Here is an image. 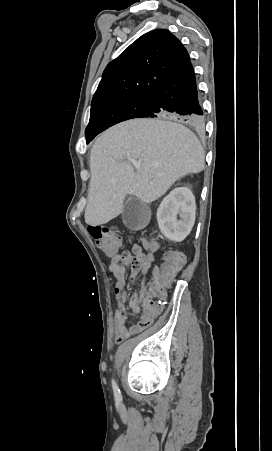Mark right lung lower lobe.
Instances as JSON below:
<instances>
[{
	"label": "right lung lower lobe",
	"instance_id": "1",
	"mask_svg": "<svg viewBox=\"0 0 272 451\" xmlns=\"http://www.w3.org/2000/svg\"><path fill=\"white\" fill-rule=\"evenodd\" d=\"M203 115L195 73L189 61L151 93L147 107L136 118H171L201 128Z\"/></svg>",
	"mask_w": 272,
	"mask_h": 451
}]
</instances>
